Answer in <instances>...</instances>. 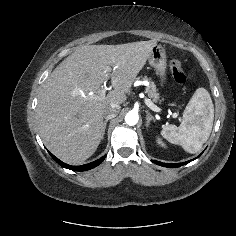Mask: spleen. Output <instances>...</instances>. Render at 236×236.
Wrapping results in <instances>:
<instances>
[{"label": "spleen", "instance_id": "spleen-1", "mask_svg": "<svg viewBox=\"0 0 236 236\" xmlns=\"http://www.w3.org/2000/svg\"><path fill=\"white\" fill-rule=\"evenodd\" d=\"M214 120V106L209 92L198 88L184 112L179 127L165 125L162 136L172 144H178L188 153H197L210 136Z\"/></svg>", "mask_w": 236, "mask_h": 236}]
</instances>
